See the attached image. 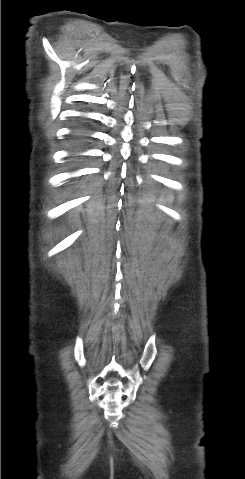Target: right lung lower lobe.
I'll list each match as a JSON object with an SVG mask.
<instances>
[{
    "instance_id": "98d812e1",
    "label": "right lung lower lobe",
    "mask_w": 245,
    "mask_h": 479,
    "mask_svg": "<svg viewBox=\"0 0 245 479\" xmlns=\"http://www.w3.org/2000/svg\"><path fill=\"white\" fill-rule=\"evenodd\" d=\"M88 128L84 123H80L75 127V132L71 139V150L78 152L82 150L87 140Z\"/></svg>"
}]
</instances>
